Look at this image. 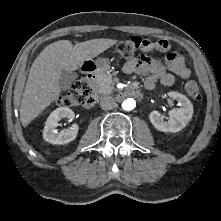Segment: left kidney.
<instances>
[{"label": "left kidney", "instance_id": "left-kidney-1", "mask_svg": "<svg viewBox=\"0 0 221 221\" xmlns=\"http://www.w3.org/2000/svg\"><path fill=\"white\" fill-rule=\"evenodd\" d=\"M169 96L177 100L181 107L169 111L168 121H163L160 113L157 111L151 112L149 114V119L157 130L175 133L182 130L192 119L193 105L186 96L178 92H170Z\"/></svg>", "mask_w": 221, "mask_h": 221}]
</instances>
